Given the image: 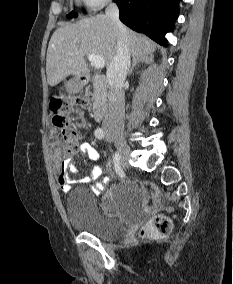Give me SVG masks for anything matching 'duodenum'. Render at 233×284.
Listing matches in <instances>:
<instances>
[{
  "instance_id": "1",
  "label": "duodenum",
  "mask_w": 233,
  "mask_h": 284,
  "mask_svg": "<svg viewBox=\"0 0 233 284\" xmlns=\"http://www.w3.org/2000/svg\"><path fill=\"white\" fill-rule=\"evenodd\" d=\"M92 81L95 87L96 102L92 109L91 115L95 121H101L108 109L109 102V85L103 75H82L80 82L82 84Z\"/></svg>"
}]
</instances>
